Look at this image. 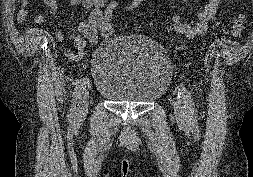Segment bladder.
Segmentation results:
<instances>
[{"label": "bladder", "instance_id": "obj_1", "mask_svg": "<svg viewBox=\"0 0 253 177\" xmlns=\"http://www.w3.org/2000/svg\"><path fill=\"white\" fill-rule=\"evenodd\" d=\"M171 73L170 60L157 42L127 35L104 40L91 63L95 92L115 103L159 100Z\"/></svg>", "mask_w": 253, "mask_h": 177}]
</instances>
